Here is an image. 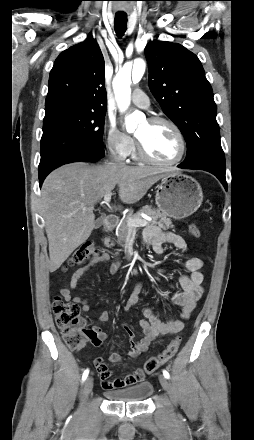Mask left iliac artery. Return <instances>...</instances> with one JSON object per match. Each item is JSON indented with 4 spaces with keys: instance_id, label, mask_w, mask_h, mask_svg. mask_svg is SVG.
I'll list each match as a JSON object with an SVG mask.
<instances>
[{
    "instance_id": "44dca946",
    "label": "left iliac artery",
    "mask_w": 254,
    "mask_h": 440,
    "mask_svg": "<svg viewBox=\"0 0 254 440\" xmlns=\"http://www.w3.org/2000/svg\"><path fill=\"white\" fill-rule=\"evenodd\" d=\"M163 375H164V377L167 378V379L170 378V374H169L166 370H163Z\"/></svg>"
}]
</instances>
